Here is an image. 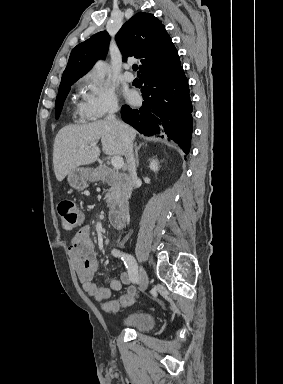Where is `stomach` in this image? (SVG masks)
<instances>
[{
  "instance_id": "1",
  "label": "stomach",
  "mask_w": 283,
  "mask_h": 384,
  "mask_svg": "<svg viewBox=\"0 0 283 384\" xmlns=\"http://www.w3.org/2000/svg\"><path fill=\"white\" fill-rule=\"evenodd\" d=\"M95 174L93 168H74L68 174V184L81 192L88 188V182H94Z\"/></svg>"
}]
</instances>
